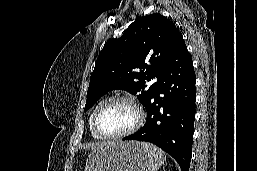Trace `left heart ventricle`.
Segmentation results:
<instances>
[{
  "label": "left heart ventricle",
  "instance_id": "obj_1",
  "mask_svg": "<svg viewBox=\"0 0 257 171\" xmlns=\"http://www.w3.org/2000/svg\"><path fill=\"white\" fill-rule=\"evenodd\" d=\"M137 120L133 107L127 103H115L105 108L98 118V127L108 135L120 134L130 129Z\"/></svg>",
  "mask_w": 257,
  "mask_h": 171
}]
</instances>
